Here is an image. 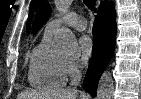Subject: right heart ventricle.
Returning <instances> with one entry per match:
<instances>
[{"label":"right heart ventricle","mask_w":141,"mask_h":99,"mask_svg":"<svg viewBox=\"0 0 141 99\" xmlns=\"http://www.w3.org/2000/svg\"><path fill=\"white\" fill-rule=\"evenodd\" d=\"M52 35L45 31L30 57L28 81L36 89L54 90L66 83L65 60L50 48Z\"/></svg>","instance_id":"right-heart-ventricle-1"}]
</instances>
